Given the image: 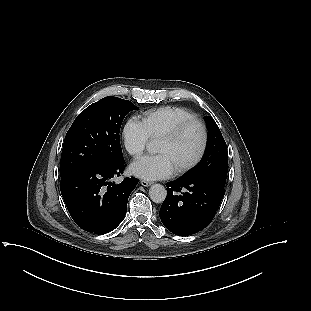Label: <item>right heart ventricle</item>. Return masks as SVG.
Returning <instances> with one entry per match:
<instances>
[{
  "mask_svg": "<svg viewBox=\"0 0 311 311\" xmlns=\"http://www.w3.org/2000/svg\"><path fill=\"white\" fill-rule=\"evenodd\" d=\"M193 118H195L194 113L186 108L164 106L145 112L142 116V123L149 138L157 139L178 123Z\"/></svg>",
  "mask_w": 311,
  "mask_h": 311,
  "instance_id": "1",
  "label": "right heart ventricle"
}]
</instances>
